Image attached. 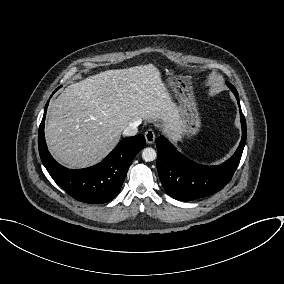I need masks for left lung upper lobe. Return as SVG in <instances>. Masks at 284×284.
Listing matches in <instances>:
<instances>
[{
  "instance_id": "1",
  "label": "left lung upper lobe",
  "mask_w": 284,
  "mask_h": 284,
  "mask_svg": "<svg viewBox=\"0 0 284 284\" xmlns=\"http://www.w3.org/2000/svg\"><path fill=\"white\" fill-rule=\"evenodd\" d=\"M227 85H228V87L231 89V91H232L234 94H238L236 88H235L232 84H230L229 82H227Z\"/></svg>"
}]
</instances>
